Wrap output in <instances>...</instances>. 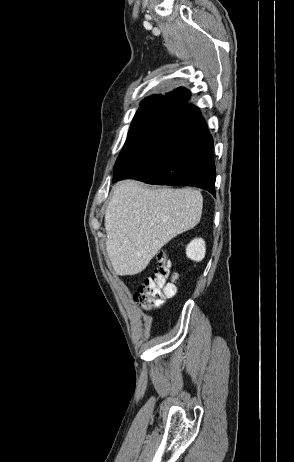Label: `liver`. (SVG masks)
<instances>
[{
  "instance_id": "1",
  "label": "liver",
  "mask_w": 294,
  "mask_h": 462,
  "mask_svg": "<svg viewBox=\"0 0 294 462\" xmlns=\"http://www.w3.org/2000/svg\"><path fill=\"white\" fill-rule=\"evenodd\" d=\"M203 198L192 188L145 189L137 181L113 187L105 212L106 250L117 275L142 272L172 238L200 221Z\"/></svg>"
}]
</instances>
